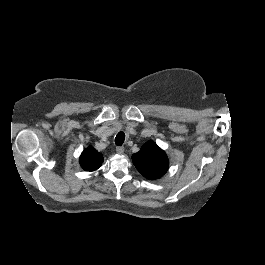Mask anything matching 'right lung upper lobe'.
Here are the masks:
<instances>
[{
	"label": "right lung upper lobe",
	"instance_id": "obj_1",
	"mask_svg": "<svg viewBox=\"0 0 265 265\" xmlns=\"http://www.w3.org/2000/svg\"><path fill=\"white\" fill-rule=\"evenodd\" d=\"M102 162V154L92 147L85 149L80 157V165L86 171H94L98 169Z\"/></svg>",
	"mask_w": 265,
	"mask_h": 265
}]
</instances>
